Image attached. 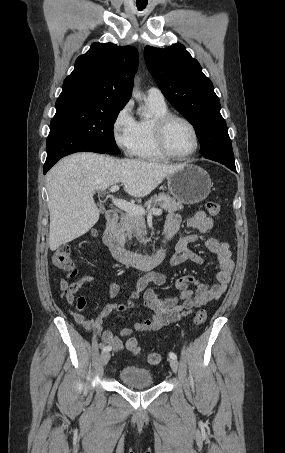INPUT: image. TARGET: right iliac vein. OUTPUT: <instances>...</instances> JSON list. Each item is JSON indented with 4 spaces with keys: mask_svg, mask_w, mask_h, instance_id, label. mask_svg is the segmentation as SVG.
Instances as JSON below:
<instances>
[{
    "mask_svg": "<svg viewBox=\"0 0 285 453\" xmlns=\"http://www.w3.org/2000/svg\"><path fill=\"white\" fill-rule=\"evenodd\" d=\"M109 360H110V353L108 351H104L100 357L101 365L105 366L109 362Z\"/></svg>",
    "mask_w": 285,
    "mask_h": 453,
    "instance_id": "63e3f726",
    "label": "right iliac vein"
}]
</instances>
